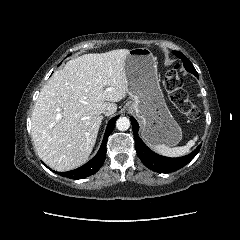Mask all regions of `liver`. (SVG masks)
Segmentation results:
<instances>
[{
    "label": "liver",
    "instance_id": "1",
    "mask_svg": "<svg viewBox=\"0 0 240 240\" xmlns=\"http://www.w3.org/2000/svg\"><path fill=\"white\" fill-rule=\"evenodd\" d=\"M128 49L84 54L54 72L32 113L31 136L38 156L52 169L68 171L87 162L103 120L128 92Z\"/></svg>",
    "mask_w": 240,
    "mask_h": 240
}]
</instances>
